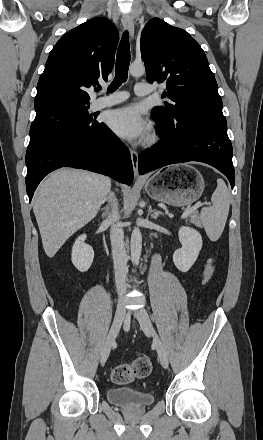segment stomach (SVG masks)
<instances>
[{"mask_svg":"<svg viewBox=\"0 0 263 440\" xmlns=\"http://www.w3.org/2000/svg\"><path fill=\"white\" fill-rule=\"evenodd\" d=\"M204 179L195 168L173 166L165 172H157L145 182V191L154 200L172 206H186L200 198Z\"/></svg>","mask_w":263,"mask_h":440,"instance_id":"stomach-1","label":"stomach"}]
</instances>
